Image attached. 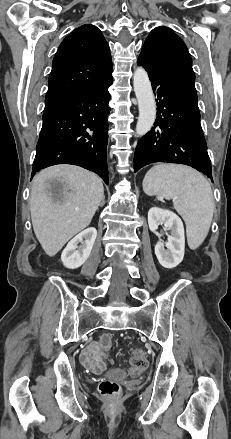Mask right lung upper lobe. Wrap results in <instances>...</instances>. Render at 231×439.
<instances>
[{
  "label": "right lung upper lobe",
  "instance_id": "1",
  "mask_svg": "<svg viewBox=\"0 0 231 439\" xmlns=\"http://www.w3.org/2000/svg\"><path fill=\"white\" fill-rule=\"evenodd\" d=\"M108 43L94 25L75 29L60 44L48 80L45 110L112 78Z\"/></svg>",
  "mask_w": 231,
  "mask_h": 439
}]
</instances>
